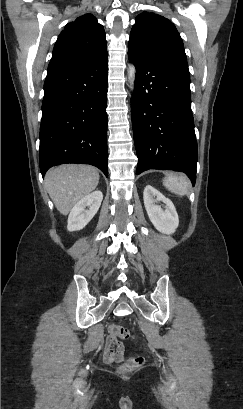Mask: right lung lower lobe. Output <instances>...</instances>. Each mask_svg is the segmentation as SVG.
I'll use <instances>...</instances> for the list:
<instances>
[{"label": "right lung lower lobe", "instance_id": "98d812e1", "mask_svg": "<svg viewBox=\"0 0 243 409\" xmlns=\"http://www.w3.org/2000/svg\"><path fill=\"white\" fill-rule=\"evenodd\" d=\"M107 51L72 68L48 73L40 125V171L64 163L107 167Z\"/></svg>", "mask_w": 243, "mask_h": 409}]
</instances>
